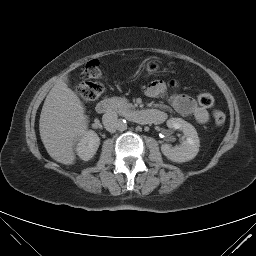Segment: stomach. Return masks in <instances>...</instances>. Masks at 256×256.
Wrapping results in <instances>:
<instances>
[{"label": "stomach", "mask_w": 256, "mask_h": 256, "mask_svg": "<svg viewBox=\"0 0 256 256\" xmlns=\"http://www.w3.org/2000/svg\"><path fill=\"white\" fill-rule=\"evenodd\" d=\"M157 68L158 67L155 63H151V62L147 63V70L149 72H154Z\"/></svg>", "instance_id": "obj_1"}]
</instances>
